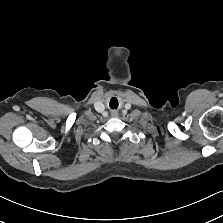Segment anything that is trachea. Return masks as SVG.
Here are the masks:
<instances>
[{
  "label": "trachea",
  "instance_id": "1",
  "mask_svg": "<svg viewBox=\"0 0 223 223\" xmlns=\"http://www.w3.org/2000/svg\"><path fill=\"white\" fill-rule=\"evenodd\" d=\"M117 107V105H111V108H116Z\"/></svg>",
  "mask_w": 223,
  "mask_h": 223
}]
</instances>
